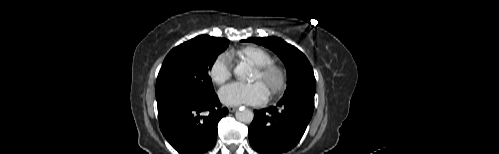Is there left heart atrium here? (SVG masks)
<instances>
[{
	"instance_id": "1",
	"label": "left heart atrium",
	"mask_w": 499,
	"mask_h": 154,
	"mask_svg": "<svg viewBox=\"0 0 499 154\" xmlns=\"http://www.w3.org/2000/svg\"><path fill=\"white\" fill-rule=\"evenodd\" d=\"M219 98L226 105H261L268 99V90L260 81L233 82L220 89Z\"/></svg>"
}]
</instances>
